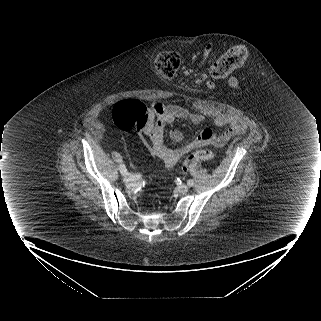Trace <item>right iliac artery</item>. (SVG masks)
Returning a JSON list of instances; mask_svg holds the SVG:
<instances>
[{"instance_id":"82829eb1","label":"right iliac artery","mask_w":321,"mask_h":321,"mask_svg":"<svg viewBox=\"0 0 321 321\" xmlns=\"http://www.w3.org/2000/svg\"><path fill=\"white\" fill-rule=\"evenodd\" d=\"M120 172L121 174L124 176V177H128V178H136L138 177L137 175L136 176H131L128 172H127V169L125 167L124 164H120Z\"/></svg>"}]
</instances>
